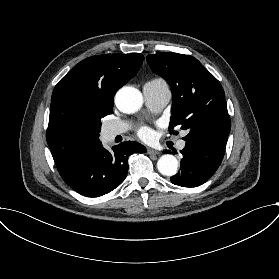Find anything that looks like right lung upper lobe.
Masks as SVG:
<instances>
[{"label":"right lung upper lobe","instance_id":"cb5924a9","mask_svg":"<svg viewBox=\"0 0 279 279\" xmlns=\"http://www.w3.org/2000/svg\"><path fill=\"white\" fill-rule=\"evenodd\" d=\"M143 60L139 53L92 56L55 86L46 136L59 173L99 147L97 112L113 104L116 91L137 74Z\"/></svg>","mask_w":279,"mask_h":279}]
</instances>
